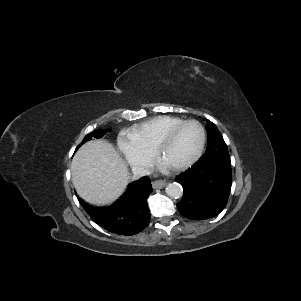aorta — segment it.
Listing matches in <instances>:
<instances>
[{
  "label": "aorta",
  "mask_w": 301,
  "mask_h": 301,
  "mask_svg": "<svg viewBox=\"0 0 301 301\" xmlns=\"http://www.w3.org/2000/svg\"><path fill=\"white\" fill-rule=\"evenodd\" d=\"M166 193L171 198H180L183 195V188L179 183H170L166 187Z\"/></svg>",
  "instance_id": "obj_1"
}]
</instances>
